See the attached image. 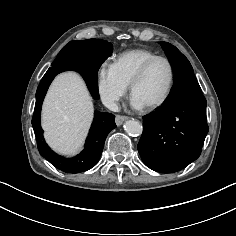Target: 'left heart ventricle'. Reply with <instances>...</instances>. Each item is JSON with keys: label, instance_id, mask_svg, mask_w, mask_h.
Returning a JSON list of instances; mask_svg holds the SVG:
<instances>
[{"label": "left heart ventricle", "instance_id": "1", "mask_svg": "<svg viewBox=\"0 0 236 236\" xmlns=\"http://www.w3.org/2000/svg\"><path fill=\"white\" fill-rule=\"evenodd\" d=\"M170 78L168 65L164 61L154 63L134 91L143 105L157 101L165 93Z\"/></svg>", "mask_w": 236, "mask_h": 236}]
</instances>
